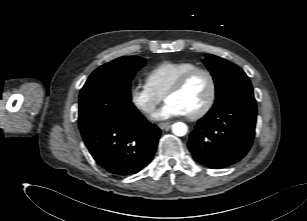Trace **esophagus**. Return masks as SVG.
Instances as JSON below:
<instances>
[{
  "instance_id": "1",
  "label": "esophagus",
  "mask_w": 307,
  "mask_h": 221,
  "mask_svg": "<svg viewBox=\"0 0 307 221\" xmlns=\"http://www.w3.org/2000/svg\"><path fill=\"white\" fill-rule=\"evenodd\" d=\"M158 126L160 129H166L167 127L171 126V122L160 123Z\"/></svg>"
}]
</instances>
